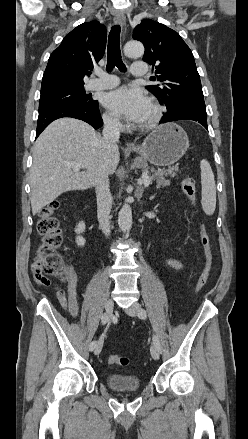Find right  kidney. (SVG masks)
Wrapping results in <instances>:
<instances>
[{"instance_id":"ca27d5eb","label":"right kidney","mask_w":248,"mask_h":439,"mask_svg":"<svg viewBox=\"0 0 248 439\" xmlns=\"http://www.w3.org/2000/svg\"><path fill=\"white\" fill-rule=\"evenodd\" d=\"M85 223L83 221L79 222L78 225L75 228V232L78 234L76 237V243L78 246L83 247L86 243V240L81 236L83 232H85Z\"/></svg>"}]
</instances>
